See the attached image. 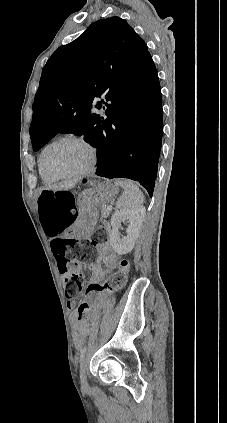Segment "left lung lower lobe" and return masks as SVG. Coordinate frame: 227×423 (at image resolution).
<instances>
[{
    "label": "left lung lower lobe",
    "mask_w": 227,
    "mask_h": 423,
    "mask_svg": "<svg viewBox=\"0 0 227 423\" xmlns=\"http://www.w3.org/2000/svg\"><path fill=\"white\" fill-rule=\"evenodd\" d=\"M92 143L98 150L96 174L138 181L152 197L162 145V97L157 71L131 111L105 113Z\"/></svg>",
    "instance_id": "left-lung-lower-lobe-1"
}]
</instances>
